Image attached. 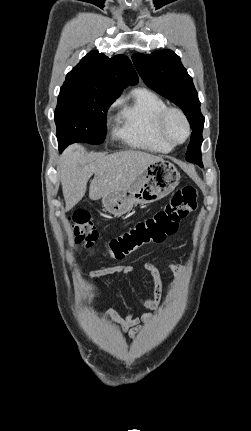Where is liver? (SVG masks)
<instances>
[{
  "label": "liver",
  "mask_w": 251,
  "mask_h": 431,
  "mask_svg": "<svg viewBox=\"0 0 251 431\" xmlns=\"http://www.w3.org/2000/svg\"><path fill=\"white\" fill-rule=\"evenodd\" d=\"M161 157L136 150L105 155L87 153L82 145L69 146L60 156L57 172L62 183L65 210H71L84 197L87 182L94 174L89 187V198L98 200L105 194L126 187L149 164Z\"/></svg>",
  "instance_id": "liver-1"
}]
</instances>
